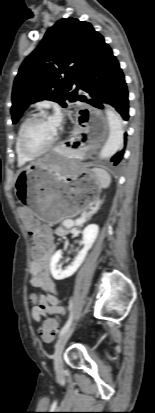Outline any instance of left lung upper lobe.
<instances>
[{"label":"left lung upper lobe","instance_id":"obj_1","mask_svg":"<svg viewBox=\"0 0 155 413\" xmlns=\"http://www.w3.org/2000/svg\"><path fill=\"white\" fill-rule=\"evenodd\" d=\"M106 46L90 23L72 17L57 21L19 69L12 92V122L17 123L31 103L48 99L66 107V100H78L83 78ZM73 84L77 88L69 92Z\"/></svg>","mask_w":155,"mask_h":413}]
</instances>
